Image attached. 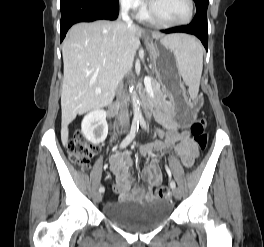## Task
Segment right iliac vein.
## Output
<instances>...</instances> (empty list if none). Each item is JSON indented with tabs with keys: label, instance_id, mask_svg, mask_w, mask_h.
Wrapping results in <instances>:
<instances>
[{
	"label": "right iliac vein",
	"instance_id": "63e3f726",
	"mask_svg": "<svg viewBox=\"0 0 264 247\" xmlns=\"http://www.w3.org/2000/svg\"><path fill=\"white\" fill-rule=\"evenodd\" d=\"M102 200V194L100 192H96L94 194V201L99 203Z\"/></svg>",
	"mask_w": 264,
	"mask_h": 247
}]
</instances>
